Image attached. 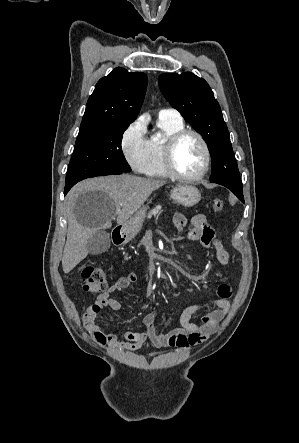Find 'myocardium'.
I'll return each mask as SVG.
<instances>
[{
  "label": "myocardium",
  "mask_w": 299,
  "mask_h": 443,
  "mask_svg": "<svg viewBox=\"0 0 299 443\" xmlns=\"http://www.w3.org/2000/svg\"><path fill=\"white\" fill-rule=\"evenodd\" d=\"M195 136L204 151V162L201 171L192 176H187L178 171L174 162V154L178 144L186 136ZM163 162L167 173L173 178L184 182H196L201 180L208 172L211 163V152L205 138L196 130L183 128L172 134L166 141L163 149Z\"/></svg>",
  "instance_id": "1"
}]
</instances>
